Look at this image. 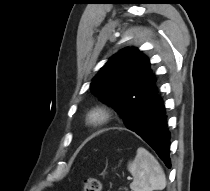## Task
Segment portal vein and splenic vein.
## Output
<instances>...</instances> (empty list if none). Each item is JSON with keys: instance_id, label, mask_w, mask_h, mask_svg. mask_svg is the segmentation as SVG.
<instances>
[{"instance_id": "obj_1", "label": "portal vein and splenic vein", "mask_w": 210, "mask_h": 191, "mask_svg": "<svg viewBox=\"0 0 210 191\" xmlns=\"http://www.w3.org/2000/svg\"><path fill=\"white\" fill-rule=\"evenodd\" d=\"M127 179H128V180H131L132 178H131V177H128Z\"/></svg>"}]
</instances>
